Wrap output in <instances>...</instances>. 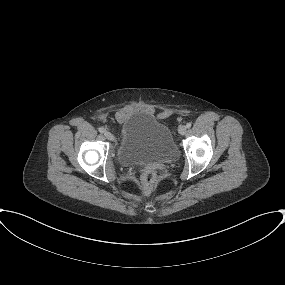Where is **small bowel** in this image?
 <instances>
[{
  "label": "small bowel",
  "mask_w": 285,
  "mask_h": 285,
  "mask_svg": "<svg viewBox=\"0 0 285 285\" xmlns=\"http://www.w3.org/2000/svg\"><path fill=\"white\" fill-rule=\"evenodd\" d=\"M138 106L137 105H125L122 108H120L115 113V119L119 124H122L126 118L132 114L133 112L137 111Z\"/></svg>",
  "instance_id": "c3829d8e"
}]
</instances>
